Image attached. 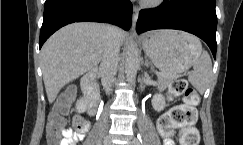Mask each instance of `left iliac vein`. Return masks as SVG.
Returning <instances> with one entry per match:
<instances>
[{
    "instance_id": "left-iliac-vein-1",
    "label": "left iliac vein",
    "mask_w": 243,
    "mask_h": 145,
    "mask_svg": "<svg viewBox=\"0 0 243 145\" xmlns=\"http://www.w3.org/2000/svg\"><path fill=\"white\" fill-rule=\"evenodd\" d=\"M126 145H136V143L134 142V140L128 142Z\"/></svg>"
}]
</instances>
